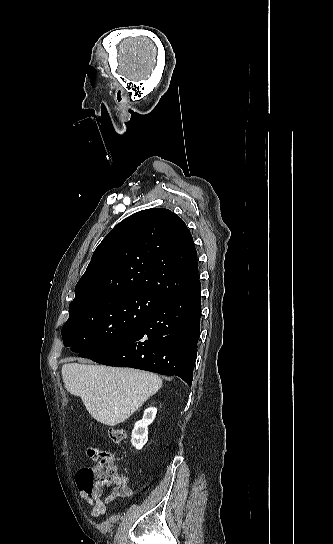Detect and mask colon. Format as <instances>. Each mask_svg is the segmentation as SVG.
I'll list each match as a JSON object with an SVG mask.
<instances>
[{
	"instance_id": "colon-1",
	"label": "colon",
	"mask_w": 333,
	"mask_h": 544,
	"mask_svg": "<svg viewBox=\"0 0 333 544\" xmlns=\"http://www.w3.org/2000/svg\"><path fill=\"white\" fill-rule=\"evenodd\" d=\"M109 437L113 442L119 443L125 438V430L119 427H110ZM88 454L94 459L95 465L78 471V485L88 491L98 487L115 486L119 482L120 476L112 455L97 449H90Z\"/></svg>"
}]
</instances>
